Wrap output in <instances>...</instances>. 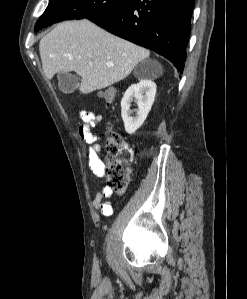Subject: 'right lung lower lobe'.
<instances>
[{"label":"right lung lower lobe","instance_id":"1","mask_svg":"<svg viewBox=\"0 0 247 299\" xmlns=\"http://www.w3.org/2000/svg\"><path fill=\"white\" fill-rule=\"evenodd\" d=\"M194 0H127L89 20L164 56L182 73Z\"/></svg>","mask_w":247,"mask_h":299}]
</instances>
